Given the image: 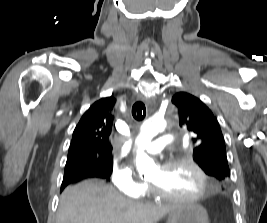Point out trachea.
I'll return each instance as SVG.
<instances>
[{
	"instance_id": "obj_1",
	"label": "trachea",
	"mask_w": 267,
	"mask_h": 223,
	"mask_svg": "<svg viewBox=\"0 0 267 223\" xmlns=\"http://www.w3.org/2000/svg\"><path fill=\"white\" fill-rule=\"evenodd\" d=\"M132 115L135 120L142 121L146 116V107L143 102L138 101L132 107Z\"/></svg>"
}]
</instances>
